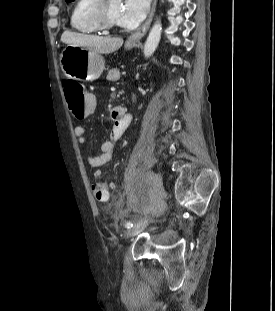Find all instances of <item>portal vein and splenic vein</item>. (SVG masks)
Returning a JSON list of instances; mask_svg holds the SVG:
<instances>
[{"label":"portal vein and splenic vein","instance_id":"obj_1","mask_svg":"<svg viewBox=\"0 0 275 311\" xmlns=\"http://www.w3.org/2000/svg\"><path fill=\"white\" fill-rule=\"evenodd\" d=\"M122 75H126V72H125V71H123V72H122Z\"/></svg>","mask_w":275,"mask_h":311}]
</instances>
